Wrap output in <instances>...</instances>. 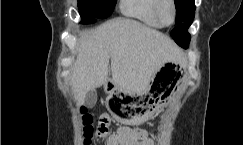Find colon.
Returning a JSON list of instances; mask_svg holds the SVG:
<instances>
[{"mask_svg":"<svg viewBox=\"0 0 243 145\" xmlns=\"http://www.w3.org/2000/svg\"><path fill=\"white\" fill-rule=\"evenodd\" d=\"M81 113L82 123L84 125L85 145L90 144L91 138L93 137L94 133L100 138H105L109 134V118L107 116L100 117L97 128L94 131L92 127V116L87 114L84 108L81 109Z\"/></svg>","mask_w":243,"mask_h":145,"instance_id":"5ec220e1","label":"colon"}]
</instances>
